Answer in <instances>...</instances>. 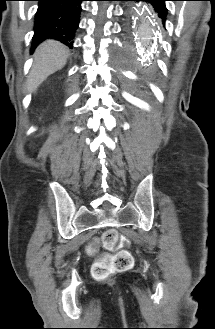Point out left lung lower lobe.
I'll use <instances>...</instances> for the list:
<instances>
[{
  "instance_id": "left-lung-lower-lobe-1",
  "label": "left lung lower lobe",
  "mask_w": 215,
  "mask_h": 329,
  "mask_svg": "<svg viewBox=\"0 0 215 329\" xmlns=\"http://www.w3.org/2000/svg\"><path fill=\"white\" fill-rule=\"evenodd\" d=\"M131 1H145V2H150L153 7L155 8V11L158 13V16L162 19L163 26H165V20H166V14H167V9L165 6V2L169 0H131Z\"/></svg>"
}]
</instances>
